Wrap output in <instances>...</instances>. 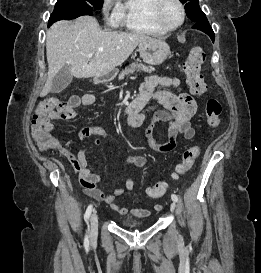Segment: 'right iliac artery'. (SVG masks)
Here are the masks:
<instances>
[{
    "label": "right iliac artery",
    "mask_w": 261,
    "mask_h": 273,
    "mask_svg": "<svg viewBox=\"0 0 261 273\" xmlns=\"http://www.w3.org/2000/svg\"><path fill=\"white\" fill-rule=\"evenodd\" d=\"M93 206L89 205L86 212H85V221L88 223V220L90 218L91 212H92ZM84 246L88 247L89 246V236L86 234L85 239H84Z\"/></svg>",
    "instance_id": "obj_1"
}]
</instances>
